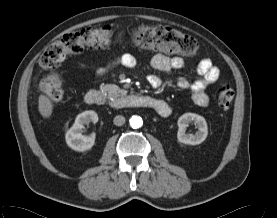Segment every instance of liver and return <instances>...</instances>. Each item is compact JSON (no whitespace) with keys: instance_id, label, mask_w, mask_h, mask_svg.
Returning a JSON list of instances; mask_svg holds the SVG:
<instances>
[{"instance_id":"6515ba94","label":"liver","mask_w":277,"mask_h":218,"mask_svg":"<svg viewBox=\"0 0 277 218\" xmlns=\"http://www.w3.org/2000/svg\"><path fill=\"white\" fill-rule=\"evenodd\" d=\"M38 110L44 118H49L53 112V103L43 94L38 98Z\"/></svg>"}]
</instances>
